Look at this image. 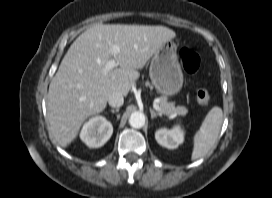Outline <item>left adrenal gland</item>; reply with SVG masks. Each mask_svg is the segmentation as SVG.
Listing matches in <instances>:
<instances>
[{
  "instance_id": "left-adrenal-gland-1",
  "label": "left adrenal gland",
  "mask_w": 272,
  "mask_h": 198,
  "mask_svg": "<svg viewBox=\"0 0 272 198\" xmlns=\"http://www.w3.org/2000/svg\"><path fill=\"white\" fill-rule=\"evenodd\" d=\"M150 113H151V119L153 120L154 118L156 117H162V114L161 113H157L155 112L153 109H150Z\"/></svg>"
}]
</instances>
